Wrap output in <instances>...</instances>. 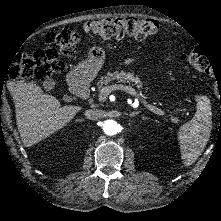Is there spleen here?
I'll use <instances>...</instances> for the list:
<instances>
[{"label":"spleen","mask_w":221,"mask_h":221,"mask_svg":"<svg viewBox=\"0 0 221 221\" xmlns=\"http://www.w3.org/2000/svg\"><path fill=\"white\" fill-rule=\"evenodd\" d=\"M212 129L210 102L200 96L193 119L181 126L178 132L181 155L185 165L194 163L203 152Z\"/></svg>","instance_id":"1"}]
</instances>
